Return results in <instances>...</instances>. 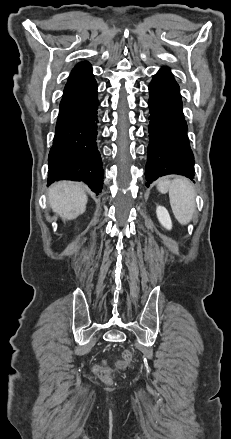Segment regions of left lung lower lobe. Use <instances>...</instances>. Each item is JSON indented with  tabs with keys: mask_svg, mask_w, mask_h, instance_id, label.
Wrapping results in <instances>:
<instances>
[{
	"mask_svg": "<svg viewBox=\"0 0 231 439\" xmlns=\"http://www.w3.org/2000/svg\"><path fill=\"white\" fill-rule=\"evenodd\" d=\"M149 99L146 186L167 174L194 178V156L187 136L179 85L169 68L154 75Z\"/></svg>",
	"mask_w": 231,
	"mask_h": 439,
	"instance_id": "obj_1",
	"label": "left lung lower lobe"
}]
</instances>
